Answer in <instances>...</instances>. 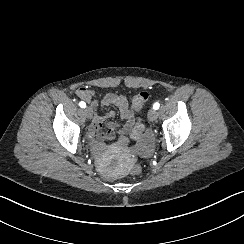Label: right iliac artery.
<instances>
[{
  "instance_id": "1",
  "label": "right iliac artery",
  "mask_w": 244,
  "mask_h": 244,
  "mask_svg": "<svg viewBox=\"0 0 244 244\" xmlns=\"http://www.w3.org/2000/svg\"><path fill=\"white\" fill-rule=\"evenodd\" d=\"M79 105H80L81 108H85V107H86V103L83 102V101H81V102L79 103Z\"/></svg>"
}]
</instances>
